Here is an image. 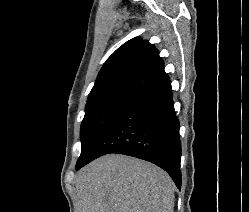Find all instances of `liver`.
I'll return each instance as SVG.
<instances>
[{"mask_svg": "<svg viewBox=\"0 0 249 212\" xmlns=\"http://www.w3.org/2000/svg\"><path fill=\"white\" fill-rule=\"evenodd\" d=\"M78 212H173L174 184L161 168L107 154L76 176Z\"/></svg>", "mask_w": 249, "mask_h": 212, "instance_id": "1", "label": "liver"}]
</instances>
